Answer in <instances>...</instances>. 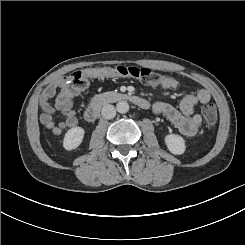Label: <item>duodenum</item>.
Listing matches in <instances>:
<instances>
[{
  "label": "duodenum",
  "instance_id": "duodenum-1",
  "mask_svg": "<svg viewBox=\"0 0 245 245\" xmlns=\"http://www.w3.org/2000/svg\"><path fill=\"white\" fill-rule=\"evenodd\" d=\"M126 101L140 108L147 109L150 104L147 100L137 95L126 92H108L96 96L87 106L84 116L89 122L94 121L100 114L101 110L108 104Z\"/></svg>",
  "mask_w": 245,
  "mask_h": 245
}]
</instances>
